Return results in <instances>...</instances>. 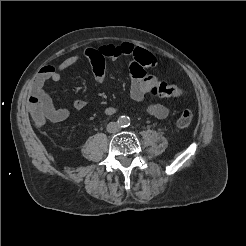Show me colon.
Instances as JSON below:
<instances>
[{"label": "colon", "instance_id": "colon-1", "mask_svg": "<svg viewBox=\"0 0 246 246\" xmlns=\"http://www.w3.org/2000/svg\"><path fill=\"white\" fill-rule=\"evenodd\" d=\"M132 60L135 66L142 71L157 65L156 57L151 52L139 47L133 51ZM150 93L158 97H180L184 94V90L177 85L158 81L151 87ZM29 108L34 122L38 125L44 124L51 112L49 103L36 95L30 97ZM192 119V111L184 110L177 119V126L180 128L188 127Z\"/></svg>", "mask_w": 246, "mask_h": 246}]
</instances>
